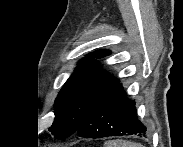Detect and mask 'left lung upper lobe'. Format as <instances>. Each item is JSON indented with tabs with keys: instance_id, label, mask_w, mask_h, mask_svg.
I'll return each instance as SVG.
<instances>
[{
	"instance_id": "5c2ea615",
	"label": "left lung upper lobe",
	"mask_w": 183,
	"mask_h": 147,
	"mask_svg": "<svg viewBox=\"0 0 183 147\" xmlns=\"http://www.w3.org/2000/svg\"><path fill=\"white\" fill-rule=\"evenodd\" d=\"M110 52L98 50L78 63V68L69 77L55 100V119L49 131L65 139L76 133L83 121L118 79L105 73L94 58H103Z\"/></svg>"
}]
</instances>
